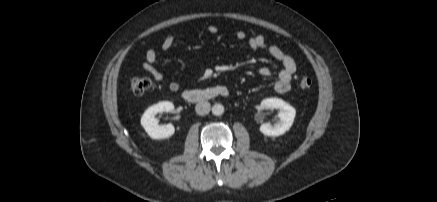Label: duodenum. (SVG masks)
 Returning a JSON list of instances; mask_svg holds the SVG:
<instances>
[{"mask_svg": "<svg viewBox=\"0 0 437 202\" xmlns=\"http://www.w3.org/2000/svg\"><path fill=\"white\" fill-rule=\"evenodd\" d=\"M230 94L229 89L223 85H217L204 89H188L182 92V97L192 103L211 100L214 98H226Z\"/></svg>", "mask_w": 437, "mask_h": 202, "instance_id": "410a0bca", "label": "duodenum"}]
</instances>
